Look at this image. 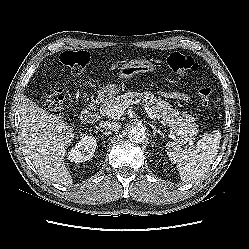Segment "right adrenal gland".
Listing matches in <instances>:
<instances>
[{
    "mask_svg": "<svg viewBox=\"0 0 249 249\" xmlns=\"http://www.w3.org/2000/svg\"><path fill=\"white\" fill-rule=\"evenodd\" d=\"M96 129L99 130V131H101L104 135H108V134L111 133V132H107V131L101 129L100 127H96Z\"/></svg>",
    "mask_w": 249,
    "mask_h": 249,
    "instance_id": "obj_1",
    "label": "right adrenal gland"
}]
</instances>
